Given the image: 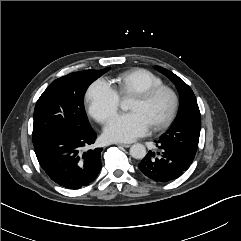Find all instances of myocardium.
<instances>
[{"label": "myocardium", "instance_id": "obj_1", "mask_svg": "<svg viewBox=\"0 0 241 241\" xmlns=\"http://www.w3.org/2000/svg\"><path fill=\"white\" fill-rule=\"evenodd\" d=\"M162 92H165L170 96L171 107H170L169 113L165 119L152 125L154 130L166 129L174 121V119L177 115V112H178V107H179V98H178L177 93L170 86L160 84V85H156V86L150 87L148 89H145L133 96V98H138L144 102H149Z\"/></svg>", "mask_w": 241, "mask_h": 241}]
</instances>
